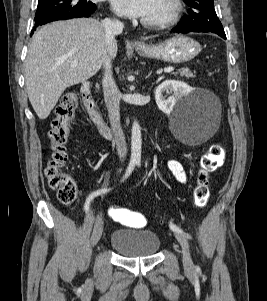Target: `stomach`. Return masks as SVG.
I'll use <instances>...</instances> for the list:
<instances>
[{
  "instance_id": "1",
  "label": "stomach",
  "mask_w": 267,
  "mask_h": 301,
  "mask_svg": "<svg viewBox=\"0 0 267 301\" xmlns=\"http://www.w3.org/2000/svg\"><path fill=\"white\" fill-rule=\"evenodd\" d=\"M135 50L144 57L170 63H183L195 58L200 53L201 46L190 37L177 35L158 45H136Z\"/></svg>"
}]
</instances>
